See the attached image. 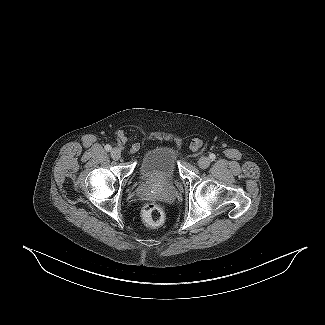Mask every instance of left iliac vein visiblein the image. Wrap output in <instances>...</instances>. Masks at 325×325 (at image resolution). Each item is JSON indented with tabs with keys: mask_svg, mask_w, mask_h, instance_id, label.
<instances>
[{
	"mask_svg": "<svg viewBox=\"0 0 325 325\" xmlns=\"http://www.w3.org/2000/svg\"><path fill=\"white\" fill-rule=\"evenodd\" d=\"M209 165H210L209 158L204 157V156L201 157V158H199V160H198V166H199V168L206 169V168L209 167Z\"/></svg>",
	"mask_w": 325,
	"mask_h": 325,
	"instance_id": "1",
	"label": "left iliac vein"
}]
</instances>
